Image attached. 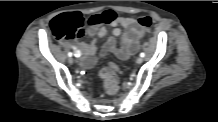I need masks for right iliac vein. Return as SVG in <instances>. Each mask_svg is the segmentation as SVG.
Instances as JSON below:
<instances>
[{"instance_id":"1","label":"right iliac vein","mask_w":218,"mask_h":122,"mask_svg":"<svg viewBox=\"0 0 218 122\" xmlns=\"http://www.w3.org/2000/svg\"><path fill=\"white\" fill-rule=\"evenodd\" d=\"M68 61H69L70 64H73V63H74V59H73L72 57H70V58L68 59Z\"/></svg>"}]
</instances>
